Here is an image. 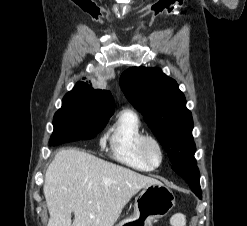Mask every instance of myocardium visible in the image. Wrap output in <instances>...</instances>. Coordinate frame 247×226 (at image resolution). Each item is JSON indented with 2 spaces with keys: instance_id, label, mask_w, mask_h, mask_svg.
Wrapping results in <instances>:
<instances>
[{
  "instance_id": "f54148a6",
  "label": "myocardium",
  "mask_w": 247,
  "mask_h": 226,
  "mask_svg": "<svg viewBox=\"0 0 247 226\" xmlns=\"http://www.w3.org/2000/svg\"><path fill=\"white\" fill-rule=\"evenodd\" d=\"M153 144L158 153H159V160L157 163L153 162L148 154V144ZM138 148H139V152L140 155L142 157V159L152 168H157L159 167L163 161H164V149L163 146L160 142V140L153 136V135H149V134H144L140 140H139V144H138Z\"/></svg>"
}]
</instances>
